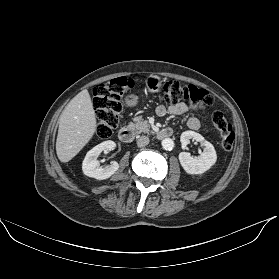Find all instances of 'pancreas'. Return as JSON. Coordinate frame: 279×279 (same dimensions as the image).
<instances>
[{"mask_svg":"<svg viewBox=\"0 0 279 279\" xmlns=\"http://www.w3.org/2000/svg\"><path fill=\"white\" fill-rule=\"evenodd\" d=\"M130 129L136 130L138 133H149L150 124L147 121H143L140 117L134 118V123L128 125Z\"/></svg>","mask_w":279,"mask_h":279,"instance_id":"1","label":"pancreas"}]
</instances>
